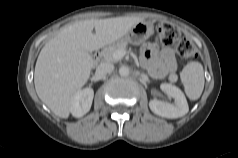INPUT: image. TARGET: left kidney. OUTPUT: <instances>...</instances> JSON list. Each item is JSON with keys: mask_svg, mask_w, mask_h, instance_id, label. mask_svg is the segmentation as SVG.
I'll use <instances>...</instances> for the list:
<instances>
[{"mask_svg": "<svg viewBox=\"0 0 238 158\" xmlns=\"http://www.w3.org/2000/svg\"><path fill=\"white\" fill-rule=\"evenodd\" d=\"M169 97H172L174 104L153 99L149 107L153 113L165 118H179L188 113L189 107L184 93L175 85L162 83L160 86Z\"/></svg>", "mask_w": 238, "mask_h": 158, "instance_id": "obj_1", "label": "left kidney"}]
</instances>
